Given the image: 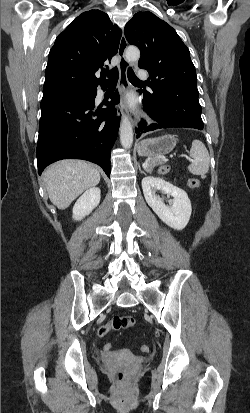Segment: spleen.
I'll return each mask as SVG.
<instances>
[{"instance_id":"obj_1","label":"spleen","mask_w":250,"mask_h":413,"mask_svg":"<svg viewBox=\"0 0 250 413\" xmlns=\"http://www.w3.org/2000/svg\"><path fill=\"white\" fill-rule=\"evenodd\" d=\"M192 157L188 170L193 175H204L209 170L210 157L207 148L200 140H194L190 149Z\"/></svg>"}]
</instances>
